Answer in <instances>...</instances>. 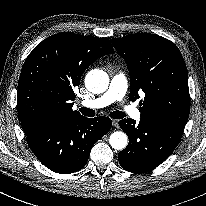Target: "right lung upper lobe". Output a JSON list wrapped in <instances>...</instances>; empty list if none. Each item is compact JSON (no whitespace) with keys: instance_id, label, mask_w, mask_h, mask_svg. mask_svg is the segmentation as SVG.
Listing matches in <instances>:
<instances>
[{"instance_id":"1","label":"right lung upper lobe","mask_w":206,"mask_h":206,"mask_svg":"<svg viewBox=\"0 0 206 206\" xmlns=\"http://www.w3.org/2000/svg\"><path fill=\"white\" fill-rule=\"evenodd\" d=\"M111 53L109 39L72 32L38 44L25 60L18 82V113L26 136L83 117L72 109L73 89L85 69Z\"/></svg>"}]
</instances>
